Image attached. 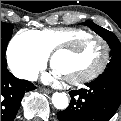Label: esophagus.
<instances>
[{"mask_svg":"<svg viewBox=\"0 0 121 121\" xmlns=\"http://www.w3.org/2000/svg\"><path fill=\"white\" fill-rule=\"evenodd\" d=\"M40 91L46 94H50L52 92L51 90L45 88H40Z\"/></svg>","mask_w":121,"mask_h":121,"instance_id":"esophagus-1","label":"esophagus"}]
</instances>
